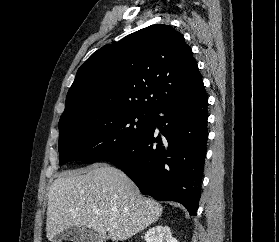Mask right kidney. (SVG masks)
I'll return each instance as SVG.
<instances>
[{"label":"right kidney","instance_id":"1","mask_svg":"<svg viewBox=\"0 0 279 242\" xmlns=\"http://www.w3.org/2000/svg\"><path fill=\"white\" fill-rule=\"evenodd\" d=\"M144 238L146 242H178L172 237L170 228L163 225H156L150 228Z\"/></svg>","mask_w":279,"mask_h":242}]
</instances>
